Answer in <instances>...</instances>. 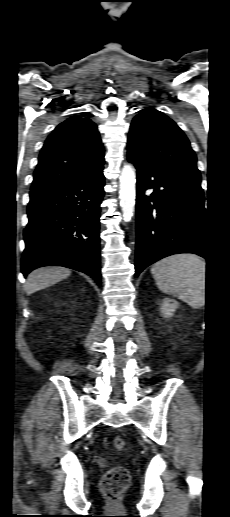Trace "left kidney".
I'll use <instances>...</instances> for the list:
<instances>
[{
	"instance_id": "5707ae66",
	"label": "left kidney",
	"mask_w": 230,
	"mask_h": 517,
	"mask_svg": "<svg viewBox=\"0 0 230 517\" xmlns=\"http://www.w3.org/2000/svg\"><path fill=\"white\" fill-rule=\"evenodd\" d=\"M178 306L179 303L176 300L164 298L160 308L165 317H171L178 308Z\"/></svg>"
}]
</instances>
